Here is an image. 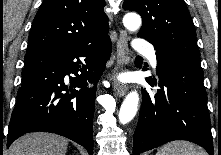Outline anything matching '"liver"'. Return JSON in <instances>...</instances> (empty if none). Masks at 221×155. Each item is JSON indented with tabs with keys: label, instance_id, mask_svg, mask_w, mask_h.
<instances>
[{
	"label": "liver",
	"instance_id": "1",
	"mask_svg": "<svg viewBox=\"0 0 221 155\" xmlns=\"http://www.w3.org/2000/svg\"><path fill=\"white\" fill-rule=\"evenodd\" d=\"M65 138L49 133L34 132L17 139L9 149V155H65Z\"/></svg>",
	"mask_w": 221,
	"mask_h": 155
}]
</instances>
